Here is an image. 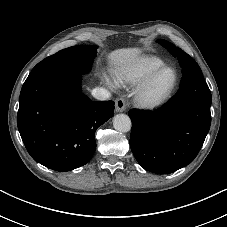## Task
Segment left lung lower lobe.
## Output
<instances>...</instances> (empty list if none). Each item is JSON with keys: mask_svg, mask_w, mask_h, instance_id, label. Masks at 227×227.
Here are the masks:
<instances>
[{"mask_svg": "<svg viewBox=\"0 0 227 227\" xmlns=\"http://www.w3.org/2000/svg\"><path fill=\"white\" fill-rule=\"evenodd\" d=\"M210 106L170 101L154 111L130 110V147L138 163L157 174L173 173L191 163L210 129Z\"/></svg>", "mask_w": 227, "mask_h": 227, "instance_id": "obj_1", "label": "left lung lower lobe"}]
</instances>
